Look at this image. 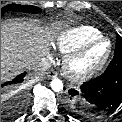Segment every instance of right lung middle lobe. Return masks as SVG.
Segmentation results:
<instances>
[{"instance_id":"obj_1","label":"right lung middle lobe","mask_w":122,"mask_h":122,"mask_svg":"<svg viewBox=\"0 0 122 122\" xmlns=\"http://www.w3.org/2000/svg\"><path fill=\"white\" fill-rule=\"evenodd\" d=\"M8 11L39 13L41 9L34 6L10 4L1 8V16Z\"/></svg>"}]
</instances>
